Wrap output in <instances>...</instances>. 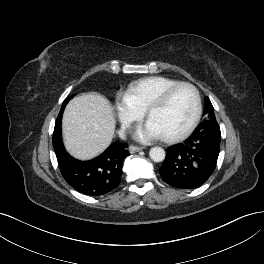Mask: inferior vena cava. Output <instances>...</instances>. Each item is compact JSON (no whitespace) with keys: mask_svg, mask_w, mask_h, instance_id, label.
<instances>
[{"mask_svg":"<svg viewBox=\"0 0 264 264\" xmlns=\"http://www.w3.org/2000/svg\"><path fill=\"white\" fill-rule=\"evenodd\" d=\"M129 127L128 124H125L122 126L121 130L119 131V135L122 139H125L126 138V133H125V130Z\"/></svg>","mask_w":264,"mask_h":264,"instance_id":"1","label":"inferior vena cava"}]
</instances>
